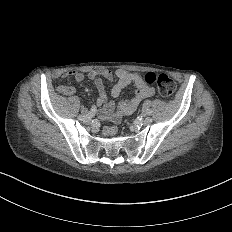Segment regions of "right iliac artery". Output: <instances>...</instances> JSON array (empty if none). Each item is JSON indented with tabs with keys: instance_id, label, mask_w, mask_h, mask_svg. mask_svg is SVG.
<instances>
[{
	"instance_id": "obj_1",
	"label": "right iliac artery",
	"mask_w": 232,
	"mask_h": 232,
	"mask_svg": "<svg viewBox=\"0 0 232 232\" xmlns=\"http://www.w3.org/2000/svg\"><path fill=\"white\" fill-rule=\"evenodd\" d=\"M93 115H94V112H92V111H90L86 116H84V115H79L77 118H78V120H85V119H87V118H91V117H93Z\"/></svg>"
}]
</instances>
